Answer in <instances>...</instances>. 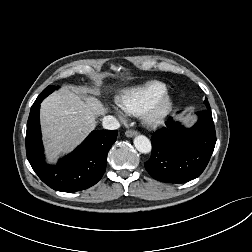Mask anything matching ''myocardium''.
Returning <instances> with one entry per match:
<instances>
[{"instance_id":"myocardium-1","label":"myocardium","mask_w":252,"mask_h":252,"mask_svg":"<svg viewBox=\"0 0 252 252\" xmlns=\"http://www.w3.org/2000/svg\"><path fill=\"white\" fill-rule=\"evenodd\" d=\"M173 109V96L166 90L144 110L142 119L148 126L159 127L166 123Z\"/></svg>"}]
</instances>
